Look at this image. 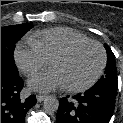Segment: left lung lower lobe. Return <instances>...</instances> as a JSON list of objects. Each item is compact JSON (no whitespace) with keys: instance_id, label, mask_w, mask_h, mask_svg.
<instances>
[{"instance_id":"0a47b994","label":"left lung lower lobe","mask_w":123,"mask_h":123,"mask_svg":"<svg viewBox=\"0 0 123 123\" xmlns=\"http://www.w3.org/2000/svg\"><path fill=\"white\" fill-rule=\"evenodd\" d=\"M116 95V89L92 87L72 98H61L56 123H108Z\"/></svg>"}]
</instances>
